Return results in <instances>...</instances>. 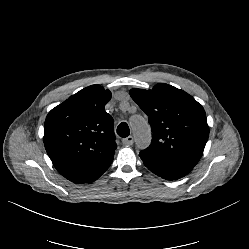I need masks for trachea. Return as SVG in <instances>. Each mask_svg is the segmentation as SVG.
Here are the masks:
<instances>
[{
	"label": "trachea",
	"mask_w": 249,
	"mask_h": 249,
	"mask_svg": "<svg viewBox=\"0 0 249 249\" xmlns=\"http://www.w3.org/2000/svg\"><path fill=\"white\" fill-rule=\"evenodd\" d=\"M117 134L120 137H127L130 134L129 126L126 122H121L119 126L117 127Z\"/></svg>",
	"instance_id": "trachea-1"
}]
</instances>
